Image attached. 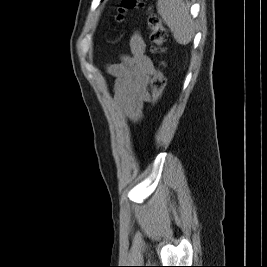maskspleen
Listing matches in <instances>:
<instances>
[{"label": "spleen", "mask_w": 267, "mask_h": 267, "mask_svg": "<svg viewBox=\"0 0 267 267\" xmlns=\"http://www.w3.org/2000/svg\"><path fill=\"white\" fill-rule=\"evenodd\" d=\"M190 6L183 0H158L157 10L165 24L173 33L174 39L182 45L191 42L195 34Z\"/></svg>", "instance_id": "3e777b00"}]
</instances>
